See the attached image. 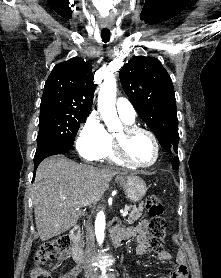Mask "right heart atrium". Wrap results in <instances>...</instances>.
I'll use <instances>...</instances> for the list:
<instances>
[{
  "mask_svg": "<svg viewBox=\"0 0 221 278\" xmlns=\"http://www.w3.org/2000/svg\"><path fill=\"white\" fill-rule=\"evenodd\" d=\"M110 143V135L96 114H90L82 123L76 147L82 158L88 161L101 159Z\"/></svg>",
  "mask_w": 221,
  "mask_h": 278,
  "instance_id": "obj_1",
  "label": "right heart atrium"
}]
</instances>
